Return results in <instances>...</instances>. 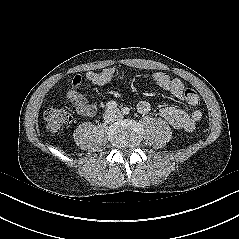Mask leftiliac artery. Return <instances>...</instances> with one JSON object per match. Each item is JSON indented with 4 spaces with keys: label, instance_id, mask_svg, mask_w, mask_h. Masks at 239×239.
Masks as SVG:
<instances>
[{
    "label": "left iliac artery",
    "instance_id": "obj_1",
    "mask_svg": "<svg viewBox=\"0 0 239 239\" xmlns=\"http://www.w3.org/2000/svg\"><path fill=\"white\" fill-rule=\"evenodd\" d=\"M129 112H130V109H129L128 107H124V108L122 109V113H123L124 115H128Z\"/></svg>",
    "mask_w": 239,
    "mask_h": 239
}]
</instances>
